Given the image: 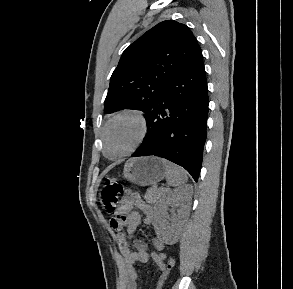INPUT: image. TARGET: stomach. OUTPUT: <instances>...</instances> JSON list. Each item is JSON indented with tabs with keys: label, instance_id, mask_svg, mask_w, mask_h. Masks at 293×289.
<instances>
[{
	"label": "stomach",
	"instance_id": "stomach-1",
	"mask_svg": "<svg viewBox=\"0 0 293 289\" xmlns=\"http://www.w3.org/2000/svg\"><path fill=\"white\" fill-rule=\"evenodd\" d=\"M124 178L139 185L156 184L165 177V168L162 160L157 157H138L129 159L123 170Z\"/></svg>",
	"mask_w": 293,
	"mask_h": 289
}]
</instances>
